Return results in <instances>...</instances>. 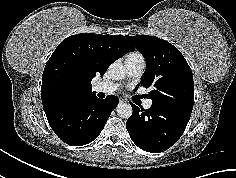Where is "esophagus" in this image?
<instances>
[{
	"instance_id": "34e87169",
	"label": "esophagus",
	"mask_w": 236,
	"mask_h": 178,
	"mask_svg": "<svg viewBox=\"0 0 236 178\" xmlns=\"http://www.w3.org/2000/svg\"><path fill=\"white\" fill-rule=\"evenodd\" d=\"M124 103V100L123 99H119V104H123Z\"/></svg>"
}]
</instances>
